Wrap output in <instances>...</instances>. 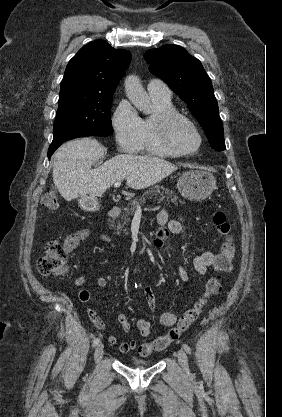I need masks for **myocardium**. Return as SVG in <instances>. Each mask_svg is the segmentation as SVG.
<instances>
[{"instance_id": "myocardium-1", "label": "myocardium", "mask_w": 282, "mask_h": 417, "mask_svg": "<svg viewBox=\"0 0 282 417\" xmlns=\"http://www.w3.org/2000/svg\"><path fill=\"white\" fill-rule=\"evenodd\" d=\"M183 124L190 131H192L198 139V145L201 143V134L195 125L184 115L176 111H160L155 115L154 124L157 129H159V135L163 144L174 154L178 155H189L193 151L187 150L179 145H177L172 136L171 129L177 124Z\"/></svg>"}]
</instances>
